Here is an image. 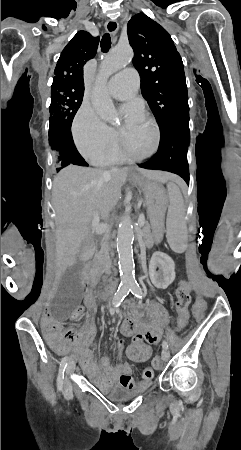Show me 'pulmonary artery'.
Masks as SVG:
<instances>
[{"label": "pulmonary artery", "mask_w": 241, "mask_h": 450, "mask_svg": "<svg viewBox=\"0 0 241 450\" xmlns=\"http://www.w3.org/2000/svg\"><path fill=\"white\" fill-rule=\"evenodd\" d=\"M139 76L134 66L112 75L108 85L109 94L116 100L127 101L135 95Z\"/></svg>", "instance_id": "1"}]
</instances>
